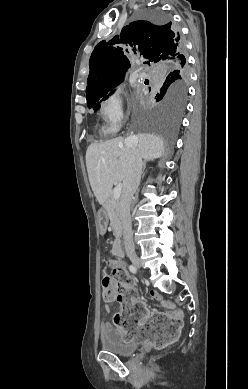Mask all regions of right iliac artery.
Returning <instances> with one entry per match:
<instances>
[{
	"label": "right iliac artery",
	"mask_w": 248,
	"mask_h": 389,
	"mask_svg": "<svg viewBox=\"0 0 248 389\" xmlns=\"http://www.w3.org/2000/svg\"><path fill=\"white\" fill-rule=\"evenodd\" d=\"M129 270H130L132 273H136V272H137L136 267L133 266V265H130V266H129Z\"/></svg>",
	"instance_id": "right-iliac-artery-1"
}]
</instances>
